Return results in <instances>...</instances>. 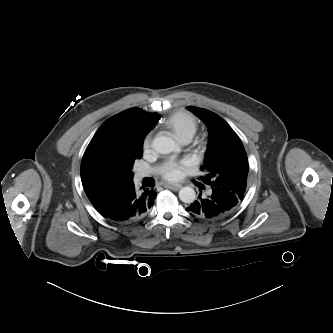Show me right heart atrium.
<instances>
[{
  "label": "right heart atrium",
  "instance_id": "1",
  "mask_svg": "<svg viewBox=\"0 0 333 333\" xmlns=\"http://www.w3.org/2000/svg\"><path fill=\"white\" fill-rule=\"evenodd\" d=\"M151 143H152V139L150 136H147L145 139H144V142H143V149L145 152H147L150 147H151Z\"/></svg>",
  "mask_w": 333,
  "mask_h": 333
}]
</instances>
